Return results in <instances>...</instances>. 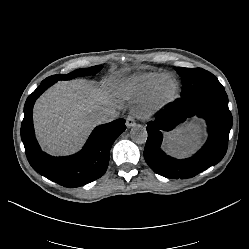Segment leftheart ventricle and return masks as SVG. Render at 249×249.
Segmentation results:
<instances>
[{"label":"left heart ventricle","mask_w":249,"mask_h":249,"mask_svg":"<svg viewBox=\"0 0 249 249\" xmlns=\"http://www.w3.org/2000/svg\"><path fill=\"white\" fill-rule=\"evenodd\" d=\"M172 87H173L172 84H167V85L164 87L163 91H164V92H170V91L172 90Z\"/></svg>","instance_id":"b2bd125f"}]
</instances>
